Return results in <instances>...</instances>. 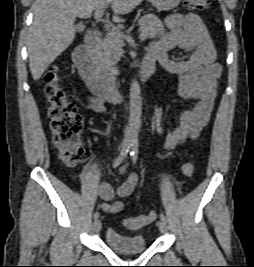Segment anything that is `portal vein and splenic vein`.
<instances>
[{"label": "portal vein and splenic vein", "mask_w": 254, "mask_h": 267, "mask_svg": "<svg viewBox=\"0 0 254 267\" xmlns=\"http://www.w3.org/2000/svg\"><path fill=\"white\" fill-rule=\"evenodd\" d=\"M102 16H103V9H96L94 13L95 19L98 21H102ZM113 37H116L117 39L120 38V34H117L115 32L110 33ZM141 41H144L146 39L145 35L140 34L139 36Z\"/></svg>", "instance_id": "obj_1"}]
</instances>
